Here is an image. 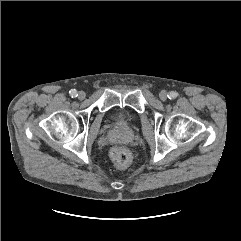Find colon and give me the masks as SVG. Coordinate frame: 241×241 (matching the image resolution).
I'll return each mask as SVG.
<instances>
[{"label": "colon", "instance_id": "1", "mask_svg": "<svg viewBox=\"0 0 241 241\" xmlns=\"http://www.w3.org/2000/svg\"><path fill=\"white\" fill-rule=\"evenodd\" d=\"M110 158L119 168H125L130 163V153L123 147H113L110 150Z\"/></svg>", "mask_w": 241, "mask_h": 241}]
</instances>
